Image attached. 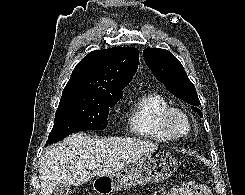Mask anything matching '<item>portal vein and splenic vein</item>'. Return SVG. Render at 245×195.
<instances>
[{"label":"portal vein and splenic vein","instance_id":"portal-vein-and-splenic-vein-1","mask_svg":"<svg viewBox=\"0 0 245 195\" xmlns=\"http://www.w3.org/2000/svg\"><path fill=\"white\" fill-rule=\"evenodd\" d=\"M95 168H96L95 165H92V166L89 167L90 170H94Z\"/></svg>","mask_w":245,"mask_h":195}]
</instances>
